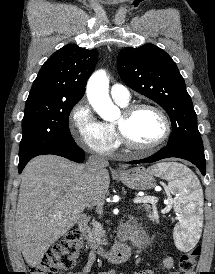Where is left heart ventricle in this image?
<instances>
[{
	"label": "left heart ventricle",
	"mask_w": 215,
	"mask_h": 274,
	"mask_svg": "<svg viewBox=\"0 0 215 274\" xmlns=\"http://www.w3.org/2000/svg\"><path fill=\"white\" fill-rule=\"evenodd\" d=\"M121 121L122 115L116 122ZM124 129L132 142L138 145H149L162 136L164 124L156 112L150 109H141L124 123Z\"/></svg>",
	"instance_id": "left-heart-ventricle-1"
}]
</instances>
